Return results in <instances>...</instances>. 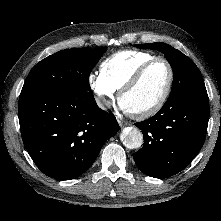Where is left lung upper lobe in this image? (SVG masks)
Segmentation results:
<instances>
[{"label": "left lung upper lobe", "mask_w": 221, "mask_h": 221, "mask_svg": "<svg viewBox=\"0 0 221 221\" xmlns=\"http://www.w3.org/2000/svg\"><path fill=\"white\" fill-rule=\"evenodd\" d=\"M142 49H155L162 52L173 69V85L170 97L185 93L206 92L202 75L196 64L179 50L165 43L135 45Z\"/></svg>", "instance_id": "left-lung-upper-lobe-1"}]
</instances>
